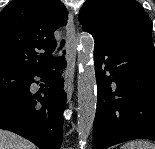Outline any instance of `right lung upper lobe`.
I'll return each instance as SVG.
<instances>
[{"mask_svg":"<svg viewBox=\"0 0 155 149\" xmlns=\"http://www.w3.org/2000/svg\"><path fill=\"white\" fill-rule=\"evenodd\" d=\"M67 16L60 0H12L0 13V68L33 75L52 66L54 32Z\"/></svg>","mask_w":155,"mask_h":149,"instance_id":"obj_1","label":"right lung upper lobe"}]
</instances>
